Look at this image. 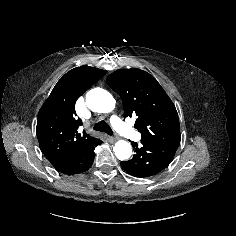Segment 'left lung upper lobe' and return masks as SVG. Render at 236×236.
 I'll use <instances>...</instances> for the list:
<instances>
[{
    "instance_id": "obj_1",
    "label": "left lung upper lobe",
    "mask_w": 236,
    "mask_h": 236,
    "mask_svg": "<svg viewBox=\"0 0 236 236\" xmlns=\"http://www.w3.org/2000/svg\"><path fill=\"white\" fill-rule=\"evenodd\" d=\"M107 83L121 97L124 117L136 118L142 142L181 140L175 105L152 75L137 68L122 69Z\"/></svg>"
}]
</instances>
